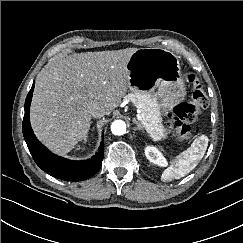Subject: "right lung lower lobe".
Listing matches in <instances>:
<instances>
[{
	"mask_svg": "<svg viewBox=\"0 0 243 243\" xmlns=\"http://www.w3.org/2000/svg\"><path fill=\"white\" fill-rule=\"evenodd\" d=\"M33 90L34 83L25 101V115L22 126L24 139L36 164L46 173L67 181H81L95 175L102 165L104 140H102L96 155L85 161L68 160L51 153L37 140L30 126L29 111Z\"/></svg>",
	"mask_w": 243,
	"mask_h": 243,
	"instance_id": "1",
	"label": "right lung lower lobe"
}]
</instances>
